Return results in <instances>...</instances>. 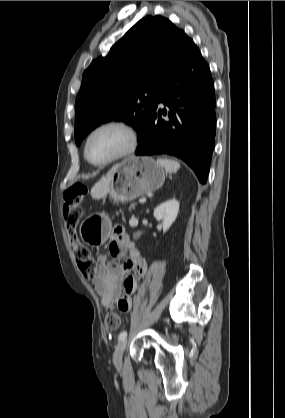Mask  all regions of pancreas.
<instances>
[{
	"mask_svg": "<svg viewBox=\"0 0 285 418\" xmlns=\"http://www.w3.org/2000/svg\"><path fill=\"white\" fill-rule=\"evenodd\" d=\"M134 207H135V204L132 205V208H134Z\"/></svg>",
	"mask_w": 285,
	"mask_h": 418,
	"instance_id": "cf45deb5",
	"label": "pancreas"
}]
</instances>
